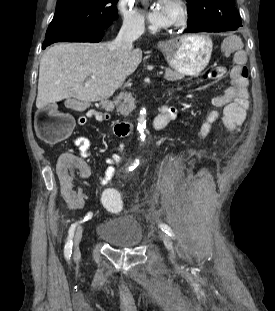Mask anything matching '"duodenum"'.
Returning <instances> with one entry per match:
<instances>
[{
  "instance_id": "duodenum-1",
  "label": "duodenum",
  "mask_w": 275,
  "mask_h": 311,
  "mask_svg": "<svg viewBox=\"0 0 275 311\" xmlns=\"http://www.w3.org/2000/svg\"><path fill=\"white\" fill-rule=\"evenodd\" d=\"M101 105L106 109H113L114 101L111 99H104ZM113 130L117 136H126L133 130V124L127 121L116 122L113 125Z\"/></svg>"
}]
</instances>
